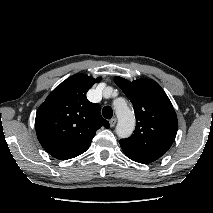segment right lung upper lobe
Returning <instances> with one entry per match:
<instances>
[{
  "label": "right lung upper lobe",
  "mask_w": 213,
  "mask_h": 213,
  "mask_svg": "<svg viewBox=\"0 0 213 213\" xmlns=\"http://www.w3.org/2000/svg\"><path fill=\"white\" fill-rule=\"evenodd\" d=\"M85 74H75L57 86L40 105L35 129L43 148L60 160L84 153L100 127L109 128L102 118L100 106L86 98L95 82Z\"/></svg>",
  "instance_id": "right-lung-upper-lobe-1"
}]
</instances>
